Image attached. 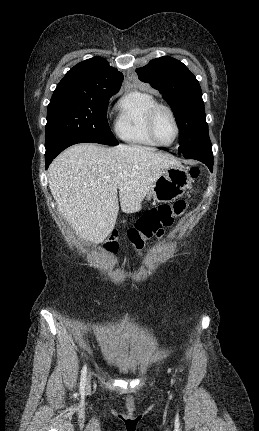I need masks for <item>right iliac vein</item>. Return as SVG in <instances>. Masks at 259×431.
<instances>
[{
    "mask_svg": "<svg viewBox=\"0 0 259 431\" xmlns=\"http://www.w3.org/2000/svg\"><path fill=\"white\" fill-rule=\"evenodd\" d=\"M89 381H90V375H89V378H88V383H89Z\"/></svg>",
    "mask_w": 259,
    "mask_h": 431,
    "instance_id": "obj_1",
    "label": "right iliac vein"
}]
</instances>
